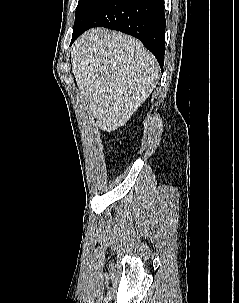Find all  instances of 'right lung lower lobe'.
Listing matches in <instances>:
<instances>
[{
    "mask_svg": "<svg viewBox=\"0 0 239 303\" xmlns=\"http://www.w3.org/2000/svg\"><path fill=\"white\" fill-rule=\"evenodd\" d=\"M165 25L164 0H106L83 29L73 34L71 44L92 27L118 30L141 40L163 70Z\"/></svg>",
    "mask_w": 239,
    "mask_h": 303,
    "instance_id": "1",
    "label": "right lung lower lobe"
}]
</instances>
